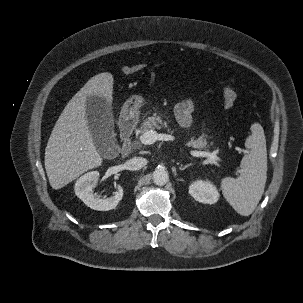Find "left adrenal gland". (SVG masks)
<instances>
[{
  "label": "left adrenal gland",
  "instance_id": "1",
  "mask_svg": "<svg viewBox=\"0 0 303 303\" xmlns=\"http://www.w3.org/2000/svg\"><path fill=\"white\" fill-rule=\"evenodd\" d=\"M192 164L190 163V164H186V165H181L180 167H179V169L180 170H185L186 168H188L189 166H191Z\"/></svg>",
  "mask_w": 303,
  "mask_h": 303
}]
</instances>
